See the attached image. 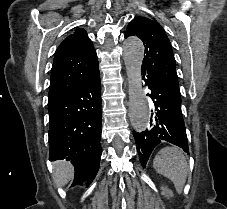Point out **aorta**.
<instances>
[{
    "mask_svg": "<svg viewBox=\"0 0 227 209\" xmlns=\"http://www.w3.org/2000/svg\"><path fill=\"white\" fill-rule=\"evenodd\" d=\"M123 57L129 77L130 120L133 129L144 131L149 124V106L142 88L141 66L144 45L136 37L128 38L123 44Z\"/></svg>",
    "mask_w": 227,
    "mask_h": 209,
    "instance_id": "obj_1",
    "label": "aorta"
}]
</instances>
